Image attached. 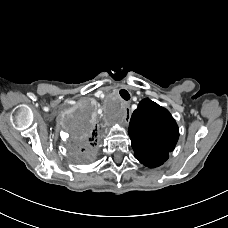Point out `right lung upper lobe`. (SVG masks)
<instances>
[{
  "instance_id": "right-lung-upper-lobe-1",
  "label": "right lung upper lobe",
  "mask_w": 228,
  "mask_h": 228,
  "mask_svg": "<svg viewBox=\"0 0 228 228\" xmlns=\"http://www.w3.org/2000/svg\"><path fill=\"white\" fill-rule=\"evenodd\" d=\"M92 140H93V138H92ZM91 145H93L92 143H91ZM84 149H82V151H83Z\"/></svg>"
}]
</instances>
